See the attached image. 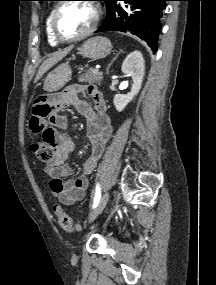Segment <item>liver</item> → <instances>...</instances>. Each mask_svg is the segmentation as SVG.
I'll use <instances>...</instances> for the list:
<instances>
[{
  "label": "liver",
  "instance_id": "obj_1",
  "mask_svg": "<svg viewBox=\"0 0 216 285\" xmlns=\"http://www.w3.org/2000/svg\"><path fill=\"white\" fill-rule=\"evenodd\" d=\"M72 48H73V46L68 47L62 51H57V52L53 53V55L51 57L46 59L42 63V65L40 66L34 82H37L44 75V73H46L58 61H60L62 58H64L72 50Z\"/></svg>",
  "mask_w": 216,
  "mask_h": 285
}]
</instances>
